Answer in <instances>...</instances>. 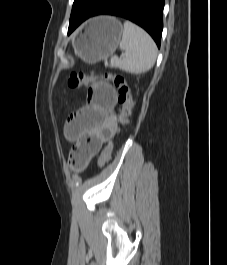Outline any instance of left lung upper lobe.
Here are the masks:
<instances>
[{"label":"left lung upper lobe","mask_w":227,"mask_h":265,"mask_svg":"<svg viewBox=\"0 0 227 265\" xmlns=\"http://www.w3.org/2000/svg\"><path fill=\"white\" fill-rule=\"evenodd\" d=\"M105 0H74L69 28L88 18Z\"/></svg>","instance_id":"1"}]
</instances>
